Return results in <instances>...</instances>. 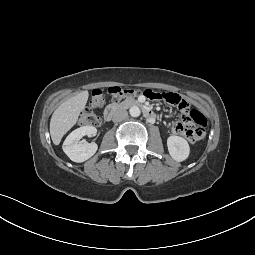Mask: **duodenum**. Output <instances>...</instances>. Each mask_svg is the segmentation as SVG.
Returning <instances> with one entry per match:
<instances>
[{"mask_svg":"<svg viewBox=\"0 0 255 255\" xmlns=\"http://www.w3.org/2000/svg\"><path fill=\"white\" fill-rule=\"evenodd\" d=\"M127 107H139L142 109V112L147 119L154 120L155 118V113L151 108L144 105L143 102L137 99L130 98L120 103H112L108 105L103 114L104 119L106 121H110L118 111Z\"/></svg>","mask_w":255,"mask_h":255,"instance_id":"obj_1","label":"duodenum"}]
</instances>
